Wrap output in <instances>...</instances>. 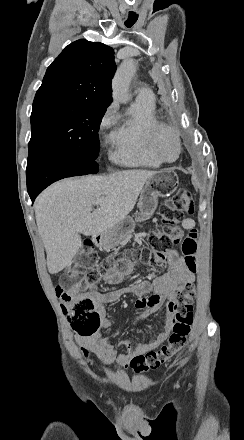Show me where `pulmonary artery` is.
I'll use <instances>...</instances> for the list:
<instances>
[{"mask_svg": "<svg viewBox=\"0 0 244 440\" xmlns=\"http://www.w3.org/2000/svg\"><path fill=\"white\" fill-rule=\"evenodd\" d=\"M137 102H154L155 94L152 90H139L136 95Z\"/></svg>", "mask_w": 244, "mask_h": 440, "instance_id": "1", "label": "pulmonary artery"}]
</instances>
